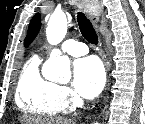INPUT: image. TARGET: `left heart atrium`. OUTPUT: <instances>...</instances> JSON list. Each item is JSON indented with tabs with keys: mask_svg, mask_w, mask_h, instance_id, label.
Segmentation results:
<instances>
[{
	"mask_svg": "<svg viewBox=\"0 0 145 124\" xmlns=\"http://www.w3.org/2000/svg\"><path fill=\"white\" fill-rule=\"evenodd\" d=\"M73 82L83 97L93 98L98 95L105 83V73L100 61L95 57L76 60L73 65Z\"/></svg>",
	"mask_w": 145,
	"mask_h": 124,
	"instance_id": "obj_1",
	"label": "left heart atrium"
}]
</instances>
